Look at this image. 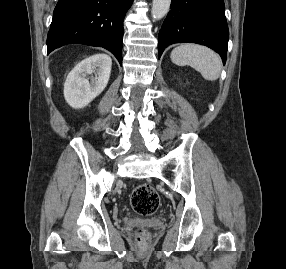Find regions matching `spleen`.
I'll list each match as a JSON object with an SVG mask.
<instances>
[{"instance_id": "spleen-1", "label": "spleen", "mask_w": 286, "mask_h": 269, "mask_svg": "<svg viewBox=\"0 0 286 269\" xmlns=\"http://www.w3.org/2000/svg\"><path fill=\"white\" fill-rule=\"evenodd\" d=\"M170 58L179 66H191L208 81L219 78L222 62L217 53L211 49L194 44H182L172 50Z\"/></svg>"}]
</instances>
